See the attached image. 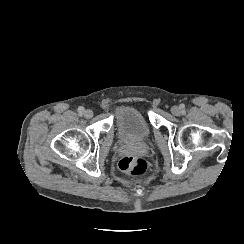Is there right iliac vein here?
Instances as JSON below:
<instances>
[{"instance_id": "1", "label": "right iliac vein", "mask_w": 244, "mask_h": 244, "mask_svg": "<svg viewBox=\"0 0 244 244\" xmlns=\"http://www.w3.org/2000/svg\"><path fill=\"white\" fill-rule=\"evenodd\" d=\"M93 116V111L90 109H87L84 111V117L85 118H91Z\"/></svg>"}]
</instances>
